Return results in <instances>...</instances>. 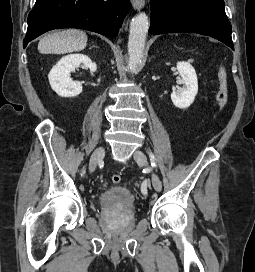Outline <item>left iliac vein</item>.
Here are the masks:
<instances>
[{"instance_id":"left-iliac-vein-1","label":"left iliac vein","mask_w":255,"mask_h":272,"mask_svg":"<svg viewBox=\"0 0 255 272\" xmlns=\"http://www.w3.org/2000/svg\"><path fill=\"white\" fill-rule=\"evenodd\" d=\"M133 157L139 165H142V166L148 165L146 155L142 151L136 150L134 152ZM151 180H152V184H153L154 189L158 192L161 191L162 183H161L159 177L154 172L151 173Z\"/></svg>"}]
</instances>
